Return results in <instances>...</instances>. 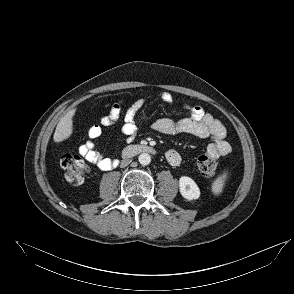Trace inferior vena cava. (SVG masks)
<instances>
[{"label": "inferior vena cava", "instance_id": "inferior-vena-cava-1", "mask_svg": "<svg viewBox=\"0 0 294 294\" xmlns=\"http://www.w3.org/2000/svg\"><path fill=\"white\" fill-rule=\"evenodd\" d=\"M131 160L127 159V160H123L122 163H121V167H125L127 166L128 164H130Z\"/></svg>", "mask_w": 294, "mask_h": 294}]
</instances>
